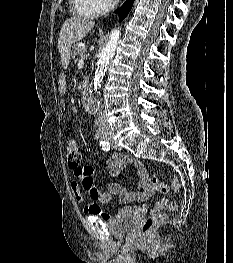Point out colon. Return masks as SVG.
Returning a JSON list of instances; mask_svg holds the SVG:
<instances>
[{
	"label": "colon",
	"mask_w": 233,
	"mask_h": 263,
	"mask_svg": "<svg viewBox=\"0 0 233 263\" xmlns=\"http://www.w3.org/2000/svg\"><path fill=\"white\" fill-rule=\"evenodd\" d=\"M65 154L67 156L68 165L72 169H74L75 172H79L82 169V167L80 166L81 152L78 143L74 140H69L65 145ZM151 182L153 188L156 191H161L165 187V184L163 182H160L158 178L155 176L151 177ZM179 187H180L179 181L176 178H174L173 180L174 192H177L179 190ZM164 208L166 211L171 212L175 209V203L172 201H168ZM166 216L167 215L165 211H159L153 214L151 217H149L142 225L141 228L142 236L144 237L148 236L156 226L164 222Z\"/></svg>",
	"instance_id": "colon-1"
}]
</instances>
